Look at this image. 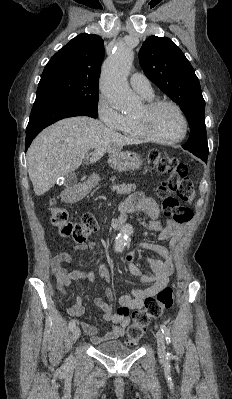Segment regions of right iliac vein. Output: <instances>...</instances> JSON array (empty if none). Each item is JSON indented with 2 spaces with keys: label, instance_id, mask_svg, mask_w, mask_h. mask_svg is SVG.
<instances>
[{
  "label": "right iliac vein",
  "instance_id": "obj_1",
  "mask_svg": "<svg viewBox=\"0 0 232 399\" xmlns=\"http://www.w3.org/2000/svg\"><path fill=\"white\" fill-rule=\"evenodd\" d=\"M80 335H81V330L79 329V327H74V332L72 334V340L73 341H78Z\"/></svg>",
  "mask_w": 232,
  "mask_h": 399
}]
</instances>
